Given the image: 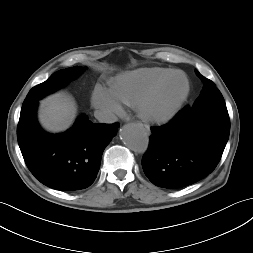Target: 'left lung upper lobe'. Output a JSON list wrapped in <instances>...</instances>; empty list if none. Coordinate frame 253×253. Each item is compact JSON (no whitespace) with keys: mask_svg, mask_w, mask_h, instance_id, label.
Returning a JSON list of instances; mask_svg holds the SVG:
<instances>
[{"mask_svg":"<svg viewBox=\"0 0 253 253\" xmlns=\"http://www.w3.org/2000/svg\"><path fill=\"white\" fill-rule=\"evenodd\" d=\"M195 73L202 80L203 89L200 96L190 109L193 111H200L211 106H226L224 98L220 91L215 87V84L211 80L203 77L197 70Z\"/></svg>","mask_w":253,"mask_h":253,"instance_id":"left-lung-upper-lobe-1","label":"left lung upper lobe"}]
</instances>
